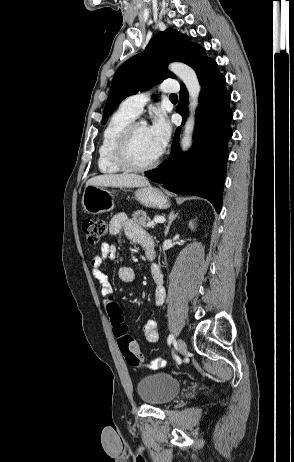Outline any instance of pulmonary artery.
Listing matches in <instances>:
<instances>
[{"mask_svg":"<svg viewBox=\"0 0 294 462\" xmlns=\"http://www.w3.org/2000/svg\"><path fill=\"white\" fill-rule=\"evenodd\" d=\"M172 79H168L164 81L159 89L163 93L167 94H174L175 92L178 91V85L174 84L172 82ZM150 100V92L145 91V92H138L136 94H133L129 97H127L123 102H122V107L132 113L133 115L137 116L140 114L144 108V106L148 103Z\"/></svg>","mask_w":294,"mask_h":462,"instance_id":"obj_1","label":"pulmonary artery"}]
</instances>
